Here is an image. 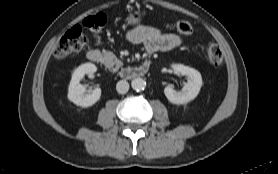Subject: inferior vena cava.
I'll list each match as a JSON object with an SVG mask.
<instances>
[{
	"label": "inferior vena cava",
	"mask_w": 278,
	"mask_h": 174,
	"mask_svg": "<svg viewBox=\"0 0 278 174\" xmlns=\"http://www.w3.org/2000/svg\"><path fill=\"white\" fill-rule=\"evenodd\" d=\"M116 90L120 94H125L129 90V83L125 80H120L116 84Z\"/></svg>",
	"instance_id": "1"
}]
</instances>
